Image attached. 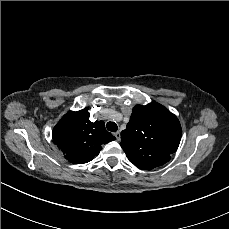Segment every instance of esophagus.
Listing matches in <instances>:
<instances>
[{"mask_svg":"<svg viewBox=\"0 0 229 229\" xmlns=\"http://www.w3.org/2000/svg\"><path fill=\"white\" fill-rule=\"evenodd\" d=\"M114 136L116 137V139L119 141L121 139V135L120 132L117 131L116 133H114Z\"/></svg>","mask_w":229,"mask_h":229,"instance_id":"34e87169","label":"esophagus"}]
</instances>
